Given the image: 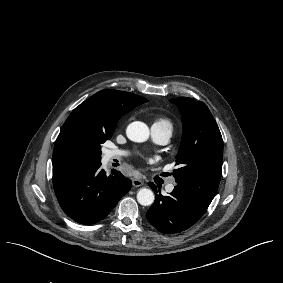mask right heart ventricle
Returning a JSON list of instances; mask_svg holds the SVG:
<instances>
[{
	"label": "right heart ventricle",
	"mask_w": 283,
	"mask_h": 283,
	"mask_svg": "<svg viewBox=\"0 0 283 283\" xmlns=\"http://www.w3.org/2000/svg\"><path fill=\"white\" fill-rule=\"evenodd\" d=\"M153 126L162 130H166L170 132V134H172L174 130L173 123L168 119H157L154 121Z\"/></svg>",
	"instance_id": "right-heart-ventricle-1"
}]
</instances>
